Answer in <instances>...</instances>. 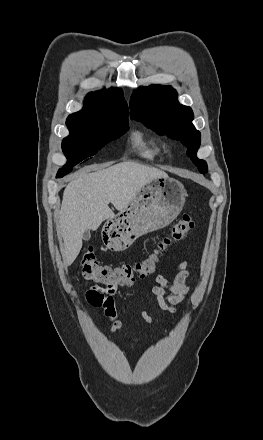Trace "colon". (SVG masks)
<instances>
[{"label":"colon","instance_id":"colon-1","mask_svg":"<svg viewBox=\"0 0 263 440\" xmlns=\"http://www.w3.org/2000/svg\"><path fill=\"white\" fill-rule=\"evenodd\" d=\"M194 221L189 215H183L171 227L168 236L160 240L155 250L142 260L121 265L102 264L97 259L92 247L82 255L79 266L85 279L94 281L108 288L130 286L139 279L154 273L160 263L159 256L170 246L181 242L190 230Z\"/></svg>","mask_w":263,"mask_h":440}]
</instances>
